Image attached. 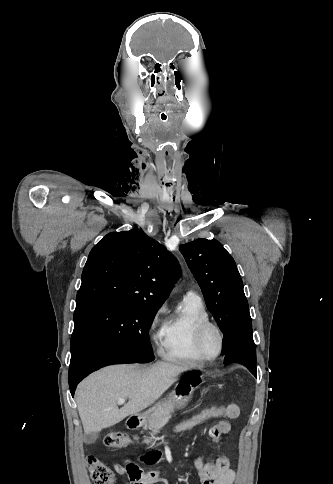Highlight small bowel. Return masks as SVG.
I'll return each mask as SVG.
<instances>
[{
	"mask_svg": "<svg viewBox=\"0 0 333 484\" xmlns=\"http://www.w3.org/2000/svg\"><path fill=\"white\" fill-rule=\"evenodd\" d=\"M238 415L239 407L237 405L229 404L224 407V418L233 419ZM230 429V423L222 420L209 430L210 439L216 444L229 433ZM193 463L201 484H234L235 482L236 473L225 455L213 453L212 460L208 463H204L201 458L196 457ZM116 471L118 474L128 477L130 484H164V480L159 478L158 470L145 472L133 462H128L125 466H117Z\"/></svg>",
	"mask_w": 333,
	"mask_h": 484,
	"instance_id": "1",
	"label": "small bowel"
}]
</instances>
